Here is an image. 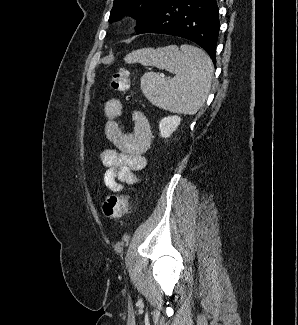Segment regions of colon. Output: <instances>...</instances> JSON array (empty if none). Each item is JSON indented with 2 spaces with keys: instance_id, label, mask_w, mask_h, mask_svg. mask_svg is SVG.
Masks as SVG:
<instances>
[{
  "instance_id": "obj_1",
  "label": "colon",
  "mask_w": 298,
  "mask_h": 325,
  "mask_svg": "<svg viewBox=\"0 0 298 325\" xmlns=\"http://www.w3.org/2000/svg\"><path fill=\"white\" fill-rule=\"evenodd\" d=\"M111 87L114 91L127 92L130 87V73L126 67L116 71L111 79ZM104 216L110 221H119L129 212V197L127 195H110L103 204Z\"/></svg>"
}]
</instances>
